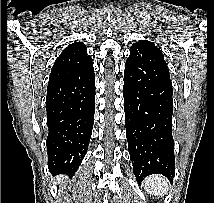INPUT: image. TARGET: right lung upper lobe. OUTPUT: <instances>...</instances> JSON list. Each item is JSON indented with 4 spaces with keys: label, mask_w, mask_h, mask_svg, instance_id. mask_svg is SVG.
Returning a JSON list of instances; mask_svg holds the SVG:
<instances>
[{
    "label": "right lung upper lobe",
    "mask_w": 214,
    "mask_h": 203,
    "mask_svg": "<svg viewBox=\"0 0 214 203\" xmlns=\"http://www.w3.org/2000/svg\"><path fill=\"white\" fill-rule=\"evenodd\" d=\"M86 49L83 42L69 44L56 59L49 82L73 74L90 64L92 58L87 54Z\"/></svg>",
    "instance_id": "right-lung-upper-lobe-1"
}]
</instances>
